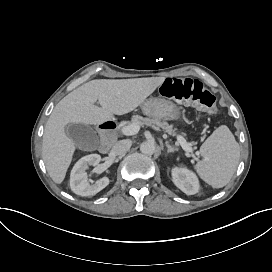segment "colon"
I'll return each instance as SVG.
<instances>
[{"label": "colon", "mask_w": 272, "mask_h": 272, "mask_svg": "<svg viewBox=\"0 0 272 272\" xmlns=\"http://www.w3.org/2000/svg\"><path fill=\"white\" fill-rule=\"evenodd\" d=\"M161 96L202 108L207 114L217 110L216 96L199 79H168L162 83Z\"/></svg>", "instance_id": "colon-1"}]
</instances>
